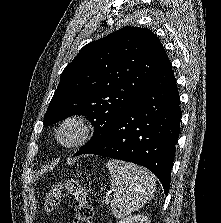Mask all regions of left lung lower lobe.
I'll return each mask as SVG.
<instances>
[{
  "label": "left lung lower lobe",
  "mask_w": 221,
  "mask_h": 223,
  "mask_svg": "<svg viewBox=\"0 0 221 223\" xmlns=\"http://www.w3.org/2000/svg\"><path fill=\"white\" fill-rule=\"evenodd\" d=\"M180 98L170 60L116 121L111 131L81 154H95L148 168L170 187L180 128Z\"/></svg>",
  "instance_id": "0a47b994"
}]
</instances>
